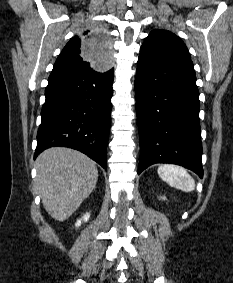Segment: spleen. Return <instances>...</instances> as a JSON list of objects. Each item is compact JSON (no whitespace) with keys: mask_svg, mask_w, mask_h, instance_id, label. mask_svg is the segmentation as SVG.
I'll return each mask as SVG.
<instances>
[{"mask_svg":"<svg viewBox=\"0 0 233 283\" xmlns=\"http://www.w3.org/2000/svg\"><path fill=\"white\" fill-rule=\"evenodd\" d=\"M159 177L171 187L184 192H191L195 189V181L188 172L172 164H165L158 168Z\"/></svg>","mask_w":233,"mask_h":283,"instance_id":"1","label":"spleen"}]
</instances>
